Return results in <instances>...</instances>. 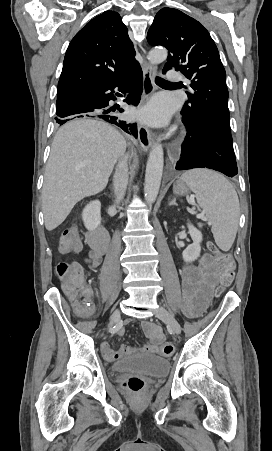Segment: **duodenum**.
<instances>
[{"label":"duodenum","instance_id":"obj_1","mask_svg":"<svg viewBox=\"0 0 272 451\" xmlns=\"http://www.w3.org/2000/svg\"><path fill=\"white\" fill-rule=\"evenodd\" d=\"M86 239L94 252L99 255L106 253L110 243V235L104 225H99L88 230Z\"/></svg>","mask_w":272,"mask_h":451}]
</instances>
